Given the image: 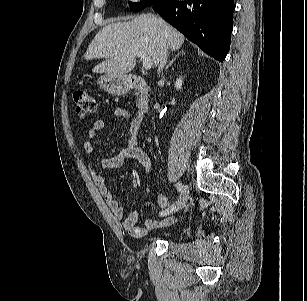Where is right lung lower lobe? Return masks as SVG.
<instances>
[{
  "label": "right lung lower lobe",
  "instance_id": "right-lung-lower-lobe-1",
  "mask_svg": "<svg viewBox=\"0 0 307 301\" xmlns=\"http://www.w3.org/2000/svg\"><path fill=\"white\" fill-rule=\"evenodd\" d=\"M153 9L190 41L223 62L233 30V0H159Z\"/></svg>",
  "mask_w": 307,
  "mask_h": 301
}]
</instances>
